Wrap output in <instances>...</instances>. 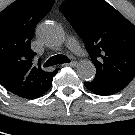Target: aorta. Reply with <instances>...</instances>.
I'll list each match as a JSON object with an SVG mask.
<instances>
[{
	"instance_id": "1",
	"label": "aorta",
	"mask_w": 135,
	"mask_h": 135,
	"mask_svg": "<svg viewBox=\"0 0 135 135\" xmlns=\"http://www.w3.org/2000/svg\"><path fill=\"white\" fill-rule=\"evenodd\" d=\"M39 38L50 47H59L65 41L64 29L56 23H44L38 29ZM96 69L91 62H81L77 67V74L83 80L94 78Z\"/></svg>"
}]
</instances>
